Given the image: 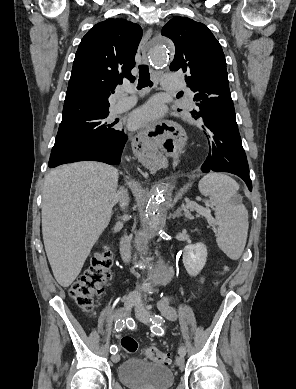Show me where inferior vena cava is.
<instances>
[{
	"mask_svg": "<svg viewBox=\"0 0 296 389\" xmlns=\"http://www.w3.org/2000/svg\"><path fill=\"white\" fill-rule=\"evenodd\" d=\"M115 200L116 202H119L121 209L124 210L129 203L127 190L123 188L118 190L117 193L115 194ZM129 249H130V239L127 236H125L121 240V254L125 262H127L129 259ZM131 297L135 300L140 299V296L137 292H133L131 294Z\"/></svg>",
	"mask_w": 296,
	"mask_h": 389,
	"instance_id": "602c4592",
	"label": "inferior vena cava"
}]
</instances>
